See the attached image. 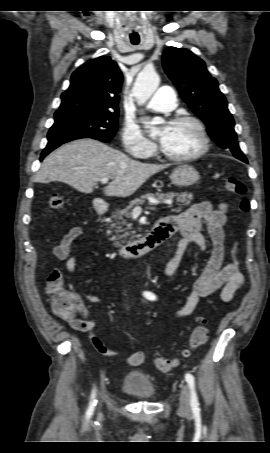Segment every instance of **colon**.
I'll return each mask as SVG.
<instances>
[{
    "label": "colon",
    "mask_w": 270,
    "mask_h": 453,
    "mask_svg": "<svg viewBox=\"0 0 270 453\" xmlns=\"http://www.w3.org/2000/svg\"><path fill=\"white\" fill-rule=\"evenodd\" d=\"M224 187L228 192L239 196L244 195L246 192L245 184L237 178L226 179ZM49 205L54 210H63L65 202L62 196L52 195L49 199ZM239 207L241 211L246 212L249 209V201L243 198L240 201ZM46 290L50 296V305L55 314L70 317L77 313L79 302L74 294L64 288V274L60 269L54 268L49 271L46 277ZM208 336V318L201 316L199 318V324L192 331L189 344L182 352V355L184 357L190 356L195 349L206 343ZM177 363V359L158 357L155 365L161 371H169Z\"/></svg>",
    "instance_id": "colon-1"
}]
</instances>
